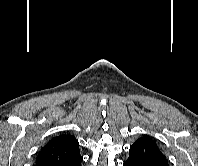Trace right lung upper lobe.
<instances>
[{
  "instance_id": "cb5924a9",
  "label": "right lung upper lobe",
  "mask_w": 198,
  "mask_h": 166,
  "mask_svg": "<svg viewBox=\"0 0 198 166\" xmlns=\"http://www.w3.org/2000/svg\"><path fill=\"white\" fill-rule=\"evenodd\" d=\"M79 143L74 136L62 134L52 138L39 152L35 166H55L80 158Z\"/></svg>"
}]
</instances>
